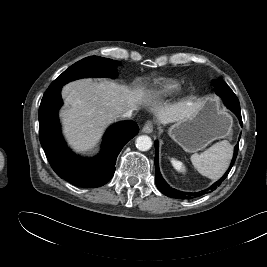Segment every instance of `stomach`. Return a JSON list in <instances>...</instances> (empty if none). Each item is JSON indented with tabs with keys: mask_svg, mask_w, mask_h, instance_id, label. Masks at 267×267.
I'll list each match as a JSON object with an SVG mask.
<instances>
[{
	"mask_svg": "<svg viewBox=\"0 0 267 267\" xmlns=\"http://www.w3.org/2000/svg\"><path fill=\"white\" fill-rule=\"evenodd\" d=\"M233 119L220 107L216 99L207 98L192 115L177 121L169 128L170 137L185 152L203 150L214 140L227 138L232 134Z\"/></svg>",
	"mask_w": 267,
	"mask_h": 267,
	"instance_id": "stomach-1",
	"label": "stomach"
}]
</instances>
